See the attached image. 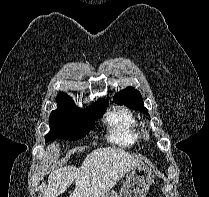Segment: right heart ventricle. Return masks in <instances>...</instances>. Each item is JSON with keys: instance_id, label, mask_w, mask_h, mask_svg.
I'll use <instances>...</instances> for the list:
<instances>
[{"instance_id": "obj_1", "label": "right heart ventricle", "mask_w": 209, "mask_h": 197, "mask_svg": "<svg viewBox=\"0 0 209 197\" xmlns=\"http://www.w3.org/2000/svg\"><path fill=\"white\" fill-rule=\"evenodd\" d=\"M110 127L109 139L121 146H131L138 142L140 133L134 115L126 108H118L107 116Z\"/></svg>"}]
</instances>
